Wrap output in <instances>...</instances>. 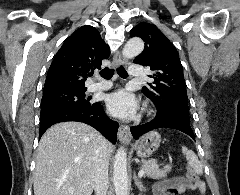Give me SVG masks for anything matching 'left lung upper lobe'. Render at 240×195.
<instances>
[{"label":"left lung upper lobe","instance_id":"5c2ea615","mask_svg":"<svg viewBox=\"0 0 240 195\" xmlns=\"http://www.w3.org/2000/svg\"><path fill=\"white\" fill-rule=\"evenodd\" d=\"M134 36L145 42L134 63L149 66L154 72V82L142 92L153 101L157 115L177 114L190 119L183 67L175 47L154 24L139 23L130 31V37Z\"/></svg>","mask_w":240,"mask_h":195}]
</instances>
